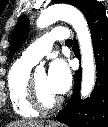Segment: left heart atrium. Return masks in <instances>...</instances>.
<instances>
[{
	"label": "left heart atrium",
	"instance_id": "obj_1",
	"mask_svg": "<svg viewBox=\"0 0 108 127\" xmlns=\"http://www.w3.org/2000/svg\"><path fill=\"white\" fill-rule=\"evenodd\" d=\"M71 72L67 63L62 59L54 60L47 73V87L55 95L65 93L71 84Z\"/></svg>",
	"mask_w": 108,
	"mask_h": 127
}]
</instances>
